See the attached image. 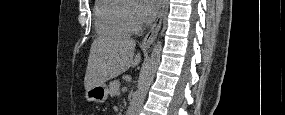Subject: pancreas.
<instances>
[{
  "label": "pancreas",
  "instance_id": "1",
  "mask_svg": "<svg viewBox=\"0 0 285 115\" xmlns=\"http://www.w3.org/2000/svg\"><path fill=\"white\" fill-rule=\"evenodd\" d=\"M120 82L119 80H113L109 83L108 93L111 96H115L119 93Z\"/></svg>",
  "mask_w": 285,
  "mask_h": 115
}]
</instances>
